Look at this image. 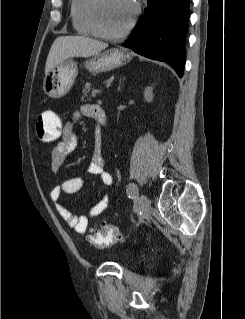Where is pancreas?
<instances>
[{
	"label": "pancreas",
	"instance_id": "obj_1",
	"mask_svg": "<svg viewBox=\"0 0 245 319\" xmlns=\"http://www.w3.org/2000/svg\"><path fill=\"white\" fill-rule=\"evenodd\" d=\"M91 86H92L91 83H86L85 84V87H84V89L82 91V93H83L82 99L87 98L88 100H90V98H88V93L94 91V89L91 88Z\"/></svg>",
	"mask_w": 245,
	"mask_h": 319
}]
</instances>
